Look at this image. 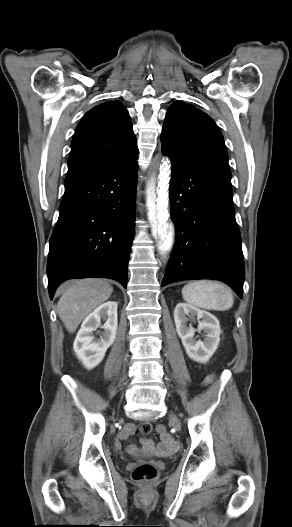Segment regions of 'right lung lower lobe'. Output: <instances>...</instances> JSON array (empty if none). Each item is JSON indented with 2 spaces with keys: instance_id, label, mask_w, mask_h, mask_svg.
Masks as SVG:
<instances>
[{
  "instance_id": "obj_1",
  "label": "right lung lower lobe",
  "mask_w": 292,
  "mask_h": 527,
  "mask_svg": "<svg viewBox=\"0 0 292 527\" xmlns=\"http://www.w3.org/2000/svg\"><path fill=\"white\" fill-rule=\"evenodd\" d=\"M138 152L68 167L47 262L50 298L70 278L115 279L124 288L134 236Z\"/></svg>"
}]
</instances>
